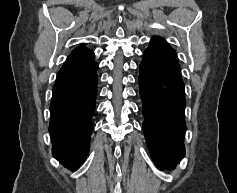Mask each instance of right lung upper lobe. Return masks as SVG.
Returning <instances> with one entry per match:
<instances>
[{
    "mask_svg": "<svg viewBox=\"0 0 237 193\" xmlns=\"http://www.w3.org/2000/svg\"><path fill=\"white\" fill-rule=\"evenodd\" d=\"M76 49H87V48L81 45V46L77 47Z\"/></svg>",
    "mask_w": 237,
    "mask_h": 193,
    "instance_id": "cb5924a9",
    "label": "right lung upper lobe"
}]
</instances>
